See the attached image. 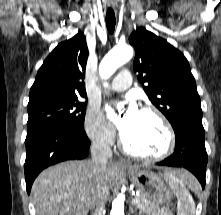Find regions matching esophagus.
Here are the masks:
<instances>
[{"label":"esophagus","mask_w":221,"mask_h":215,"mask_svg":"<svg viewBox=\"0 0 221 215\" xmlns=\"http://www.w3.org/2000/svg\"><path fill=\"white\" fill-rule=\"evenodd\" d=\"M108 5L110 7H114L113 0H108ZM117 163H118V166L121 168H124V169H131L132 168L131 165L127 162V160L122 157L118 158Z\"/></svg>","instance_id":"34e87169"}]
</instances>
